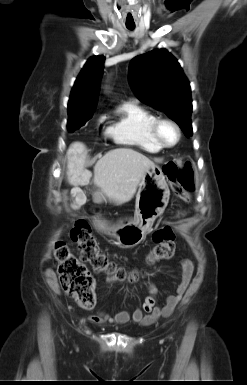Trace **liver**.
Instances as JSON below:
<instances>
[{
    "label": "liver",
    "mask_w": 247,
    "mask_h": 385,
    "mask_svg": "<svg viewBox=\"0 0 247 385\" xmlns=\"http://www.w3.org/2000/svg\"><path fill=\"white\" fill-rule=\"evenodd\" d=\"M86 157L83 143L74 142L70 145L67 152V181L73 186V209H79L86 202L85 193L79 187L87 186L92 177V173L85 168ZM153 165L149 158L130 148L107 152L94 166L93 184L98 188L93 194L94 201L101 203L108 199L117 205L130 201L144 172Z\"/></svg>",
    "instance_id": "6515ba94"
}]
</instances>
